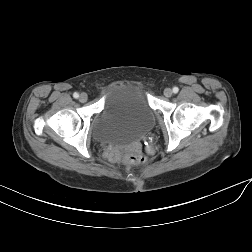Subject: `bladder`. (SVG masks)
<instances>
[{
  "label": "bladder",
  "instance_id": "bladder-1",
  "mask_svg": "<svg viewBox=\"0 0 252 252\" xmlns=\"http://www.w3.org/2000/svg\"><path fill=\"white\" fill-rule=\"evenodd\" d=\"M154 123V112L143 87L116 83L108 87L104 106L91 131L98 142L129 144L141 139Z\"/></svg>",
  "mask_w": 252,
  "mask_h": 252
}]
</instances>
